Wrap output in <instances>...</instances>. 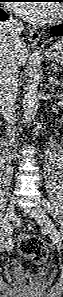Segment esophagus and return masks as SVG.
Listing matches in <instances>:
<instances>
[{
    "label": "esophagus",
    "instance_id": "obj_1",
    "mask_svg": "<svg viewBox=\"0 0 63 297\" xmlns=\"http://www.w3.org/2000/svg\"><path fill=\"white\" fill-rule=\"evenodd\" d=\"M40 36V32L37 29L32 28L29 30L28 40L32 45H38Z\"/></svg>",
    "mask_w": 63,
    "mask_h": 297
}]
</instances>
